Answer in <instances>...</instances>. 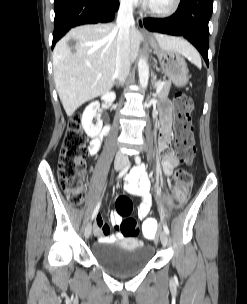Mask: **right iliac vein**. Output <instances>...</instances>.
<instances>
[{
  "label": "right iliac vein",
  "mask_w": 247,
  "mask_h": 304,
  "mask_svg": "<svg viewBox=\"0 0 247 304\" xmlns=\"http://www.w3.org/2000/svg\"><path fill=\"white\" fill-rule=\"evenodd\" d=\"M122 165L121 164H117L116 166H115V169L117 170V171H119V170H121L122 169ZM91 232H92V225H91V223H88L87 225H86V227H85V237L86 238H89L90 237V235H91Z\"/></svg>",
  "instance_id": "1"
}]
</instances>
